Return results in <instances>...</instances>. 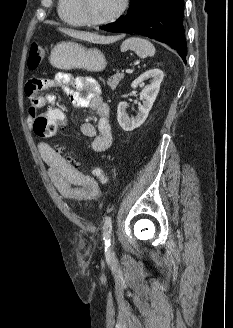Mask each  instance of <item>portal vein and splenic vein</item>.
Masks as SVG:
<instances>
[{
    "label": "portal vein and splenic vein",
    "instance_id": "1",
    "mask_svg": "<svg viewBox=\"0 0 233 328\" xmlns=\"http://www.w3.org/2000/svg\"><path fill=\"white\" fill-rule=\"evenodd\" d=\"M125 72L128 73V74H131L133 72V70L127 69V70H125Z\"/></svg>",
    "mask_w": 233,
    "mask_h": 328
}]
</instances>
